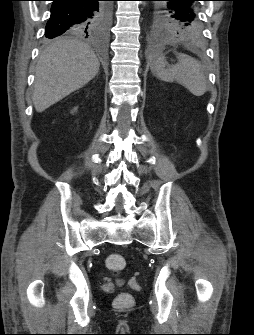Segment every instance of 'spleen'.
Wrapping results in <instances>:
<instances>
[{"mask_svg":"<svg viewBox=\"0 0 254 335\" xmlns=\"http://www.w3.org/2000/svg\"><path fill=\"white\" fill-rule=\"evenodd\" d=\"M177 58L175 65H168L162 52H158L152 65L153 73L165 82H178L195 96L204 95L207 80L200 63L186 54H179Z\"/></svg>","mask_w":254,"mask_h":335,"instance_id":"spleen-1","label":"spleen"}]
</instances>
